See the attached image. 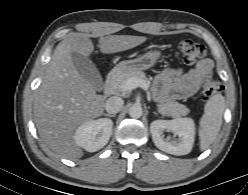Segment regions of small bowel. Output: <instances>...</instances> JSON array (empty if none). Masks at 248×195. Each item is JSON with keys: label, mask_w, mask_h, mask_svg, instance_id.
Here are the masks:
<instances>
[{"label": "small bowel", "mask_w": 248, "mask_h": 195, "mask_svg": "<svg viewBox=\"0 0 248 195\" xmlns=\"http://www.w3.org/2000/svg\"><path fill=\"white\" fill-rule=\"evenodd\" d=\"M213 70L209 59L201 60L194 68L184 72L181 68L162 70L155 81L156 97L161 102L181 100L194 95Z\"/></svg>", "instance_id": "1"}]
</instances>
